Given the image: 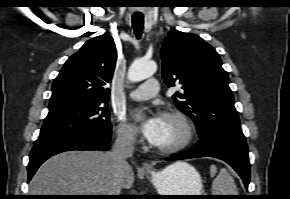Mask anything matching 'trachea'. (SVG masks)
Instances as JSON below:
<instances>
[{"mask_svg": "<svg viewBox=\"0 0 290 199\" xmlns=\"http://www.w3.org/2000/svg\"><path fill=\"white\" fill-rule=\"evenodd\" d=\"M143 23L144 18L142 15H133L132 16V26L136 37L139 39L143 33Z\"/></svg>", "mask_w": 290, "mask_h": 199, "instance_id": "obj_1", "label": "trachea"}]
</instances>
